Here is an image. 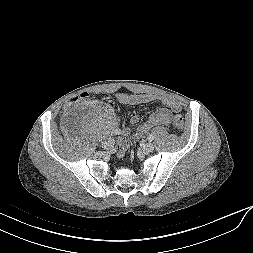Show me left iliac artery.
I'll return each instance as SVG.
<instances>
[{"instance_id":"left-iliac-artery-1","label":"left iliac artery","mask_w":253,"mask_h":253,"mask_svg":"<svg viewBox=\"0 0 253 253\" xmlns=\"http://www.w3.org/2000/svg\"><path fill=\"white\" fill-rule=\"evenodd\" d=\"M147 139H148L149 141H153L154 136H153L152 134H149L148 137H147Z\"/></svg>"}]
</instances>
